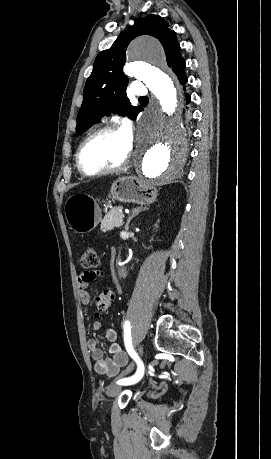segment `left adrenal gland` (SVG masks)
<instances>
[{"instance_id": "left-adrenal-gland-1", "label": "left adrenal gland", "mask_w": 271, "mask_h": 459, "mask_svg": "<svg viewBox=\"0 0 271 459\" xmlns=\"http://www.w3.org/2000/svg\"><path fill=\"white\" fill-rule=\"evenodd\" d=\"M145 210H147V208H132V214L131 216H129L126 224H125V229L126 231H128L129 229V224L131 222V220H133V218H135V216H138L139 212H145Z\"/></svg>"}]
</instances>
